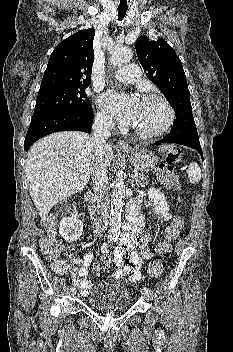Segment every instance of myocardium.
I'll return each instance as SVG.
<instances>
[{
    "label": "myocardium",
    "instance_id": "1",
    "mask_svg": "<svg viewBox=\"0 0 233 352\" xmlns=\"http://www.w3.org/2000/svg\"><path fill=\"white\" fill-rule=\"evenodd\" d=\"M150 99L160 101L165 106L167 113H168V117H167L165 124L161 128H159L158 130H155V131H150V132L142 131V130H139V129L133 127L134 132L138 136L145 138V139H154V138H158V137L164 135L172 127V125L175 121L174 108L163 95H161L159 93H148L142 97V100H150Z\"/></svg>",
    "mask_w": 233,
    "mask_h": 352
}]
</instances>
